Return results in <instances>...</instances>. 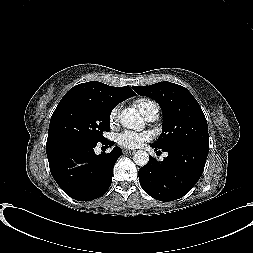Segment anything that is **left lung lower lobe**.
Here are the masks:
<instances>
[{
	"label": "left lung lower lobe",
	"mask_w": 253,
	"mask_h": 253,
	"mask_svg": "<svg viewBox=\"0 0 253 253\" xmlns=\"http://www.w3.org/2000/svg\"><path fill=\"white\" fill-rule=\"evenodd\" d=\"M155 150L159 148L153 144ZM168 152L163 161L151 157L139 169V181L144 191L160 201H173L187 194L200 179L209 148L179 143L161 149Z\"/></svg>",
	"instance_id": "1"
}]
</instances>
